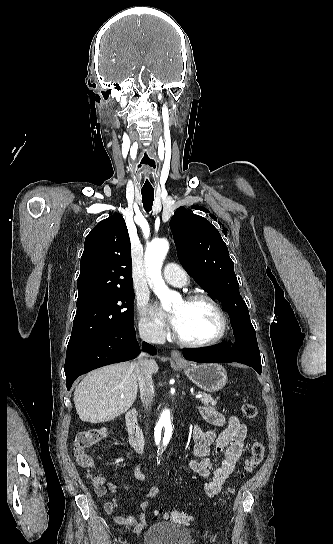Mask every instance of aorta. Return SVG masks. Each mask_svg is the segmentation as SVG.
<instances>
[{
  "label": "aorta",
  "instance_id": "aorta-1",
  "mask_svg": "<svg viewBox=\"0 0 333 544\" xmlns=\"http://www.w3.org/2000/svg\"><path fill=\"white\" fill-rule=\"evenodd\" d=\"M169 244L166 239L153 241L146 248L145 263L147 274L150 278L153 291L160 299L165 310L171 309L172 304L180 300V295L171 291L165 284L161 268L163 260L168 252ZM172 432L171 416L169 410H164L156 426L155 441L158 447L165 448L170 440Z\"/></svg>",
  "mask_w": 333,
  "mask_h": 544
}]
</instances>
